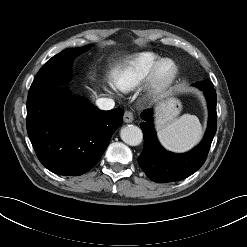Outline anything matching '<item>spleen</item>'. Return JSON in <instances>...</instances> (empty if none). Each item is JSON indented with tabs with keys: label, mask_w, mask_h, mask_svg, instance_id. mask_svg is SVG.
<instances>
[{
	"label": "spleen",
	"mask_w": 247,
	"mask_h": 247,
	"mask_svg": "<svg viewBox=\"0 0 247 247\" xmlns=\"http://www.w3.org/2000/svg\"><path fill=\"white\" fill-rule=\"evenodd\" d=\"M202 137V126L195 115L184 114L167 123L158 132L160 143L169 151L185 152L194 147Z\"/></svg>",
	"instance_id": "spleen-1"
}]
</instances>
